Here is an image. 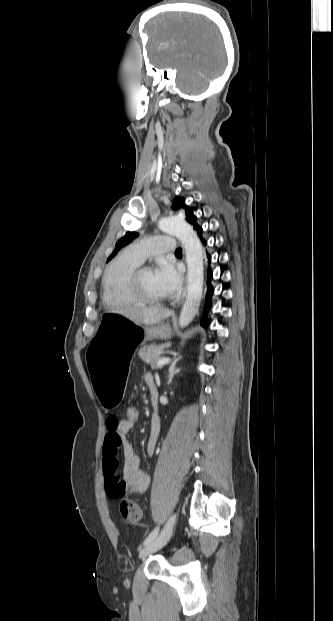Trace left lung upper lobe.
Segmentation results:
<instances>
[{
    "instance_id": "left-lung-upper-lobe-1",
    "label": "left lung upper lobe",
    "mask_w": 333,
    "mask_h": 621,
    "mask_svg": "<svg viewBox=\"0 0 333 621\" xmlns=\"http://www.w3.org/2000/svg\"><path fill=\"white\" fill-rule=\"evenodd\" d=\"M172 208L174 210L183 208L185 210V215H186L187 222L190 223L193 226L194 229L199 227V225L197 224V218L194 215V211H193V210H195V208L194 207H188L185 204V199L184 198H181V197L175 198L173 200V203H172ZM137 236H138V233L128 231L125 234V236H123L121 239H119L117 241V243L115 245V249L112 252V254L109 256L107 261L111 260L122 247L126 246L128 243H130Z\"/></svg>"
}]
</instances>
